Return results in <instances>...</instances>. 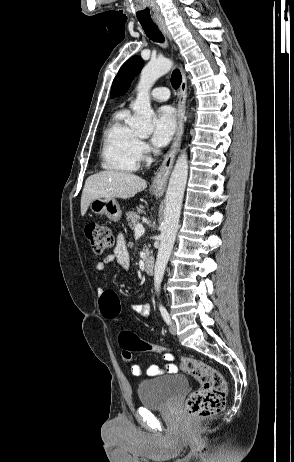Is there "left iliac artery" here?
<instances>
[{"label":"left iliac artery","instance_id":"1","mask_svg":"<svg viewBox=\"0 0 294 462\" xmlns=\"http://www.w3.org/2000/svg\"><path fill=\"white\" fill-rule=\"evenodd\" d=\"M160 312H161V315L164 319V321L167 323V324H170L171 323V319H170V316L166 310L165 307H160Z\"/></svg>","mask_w":294,"mask_h":462}]
</instances>
